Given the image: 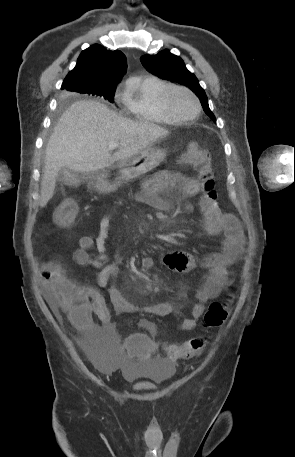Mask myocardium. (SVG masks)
Returning a JSON list of instances; mask_svg holds the SVG:
<instances>
[{
    "label": "myocardium",
    "instance_id": "1",
    "mask_svg": "<svg viewBox=\"0 0 295 457\" xmlns=\"http://www.w3.org/2000/svg\"><path fill=\"white\" fill-rule=\"evenodd\" d=\"M175 91H183V92L187 93L193 99L195 106H196V110L192 116L181 117V116H178L173 111L172 106L170 104V97H171L172 93ZM160 100H161V104H162L165 112L176 122L184 123V122L193 121L199 116V114L201 112V103H200L197 95L192 90H190L189 88L184 87V86L170 84L162 91Z\"/></svg>",
    "mask_w": 295,
    "mask_h": 457
}]
</instances>
